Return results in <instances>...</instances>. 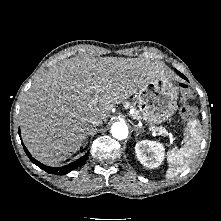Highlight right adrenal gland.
I'll return each mask as SVG.
<instances>
[{"label":"right adrenal gland","mask_w":221,"mask_h":221,"mask_svg":"<svg viewBox=\"0 0 221 221\" xmlns=\"http://www.w3.org/2000/svg\"><path fill=\"white\" fill-rule=\"evenodd\" d=\"M87 141H88V136H85V138H84V145L87 144Z\"/></svg>","instance_id":"2a0ac1e0"}]
</instances>
